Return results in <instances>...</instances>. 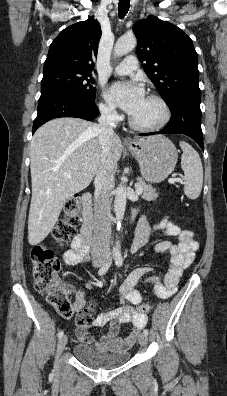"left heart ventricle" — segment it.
I'll list each match as a JSON object with an SVG mask.
<instances>
[{"label":"left heart ventricle","instance_id":"left-heart-ventricle-1","mask_svg":"<svg viewBox=\"0 0 227 396\" xmlns=\"http://www.w3.org/2000/svg\"><path fill=\"white\" fill-rule=\"evenodd\" d=\"M162 117L160 106L153 100L146 98L140 108L132 115V118L141 125H152Z\"/></svg>","mask_w":227,"mask_h":396}]
</instances>
